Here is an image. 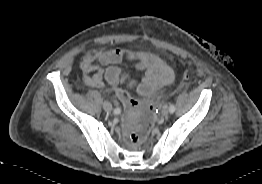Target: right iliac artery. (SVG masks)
I'll list each match as a JSON object with an SVG mask.
<instances>
[{
	"label": "right iliac artery",
	"instance_id": "1",
	"mask_svg": "<svg viewBox=\"0 0 262 184\" xmlns=\"http://www.w3.org/2000/svg\"><path fill=\"white\" fill-rule=\"evenodd\" d=\"M120 112H121V110L119 108L114 109V114H119Z\"/></svg>",
	"mask_w": 262,
	"mask_h": 184
}]
</instances>
